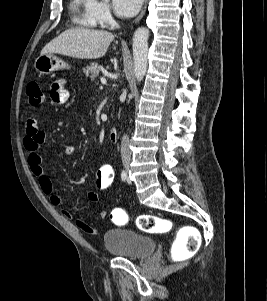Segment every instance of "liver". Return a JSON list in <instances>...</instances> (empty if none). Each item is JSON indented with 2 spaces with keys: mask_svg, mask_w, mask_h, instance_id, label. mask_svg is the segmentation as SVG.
<instances>
[{
  "mask_svg": "<svg viewBox=\"0 0 267 301\" xmlns=\"http://www.w3.org/2000/svg\"><path fill=\"white\" fill-rule=\"evenodd\" d=\"M114 40L111 32L86 28L69 29L50 41L41 51L43 54H60L79 59L103 57Z\"/></svg>",
  "mask_w": 267,
  "mask_h": 301,
  "instance_id": "6515ba94",
  "label": "liver"
}]
</instances>
